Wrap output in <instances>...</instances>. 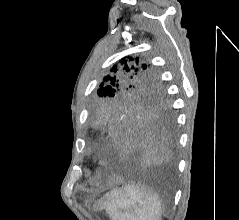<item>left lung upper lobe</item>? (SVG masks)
Returning a JSON list of instances; mask_svg holds the SVG:
<instances>
[{
	"label": "left lung upper lobe",
	"instance_id": "obj_1",
	"mask_svg": "<svg viewBox=\"0 0 239 220\" xmlns=\"http://www.w3.org/2000/svg\"><path fill=\"white\" fill-rule=\"evenodd\" d=\"M97 96L90 108L94 125L99 113L112 107L169 112V100L158 82L156 70L149 62L131 55L112 67L100 84Z\"/></svg>",
	"mask_w": 239,
	"mask_h": 220
}]
</instances>
